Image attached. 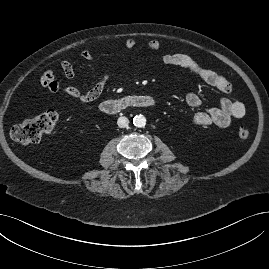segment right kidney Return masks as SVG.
<instances>
[{
    "instance_id": "obj_1",
    "label": "right kidney",
    "mask_w": 269,
    "mask_h": 269,
    "mask_svg": "<svg viewBox=\"0 0 269 269\" xmlns=\"http://www.w3.org/2000/svg\"><path fill=\"white\" fill-rule=\"evenodd\" d=\"M84 131L83 130H80V133H83Z\"/></svg>"
}]
</instances>
